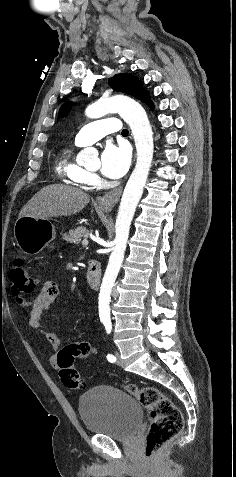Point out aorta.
<instances>
[{
	"label": "aorta",
	"instance_id": "aorta-1",
	"mask_svg": "<svg viewBox=\"0 0 236 477\" xmlns=\"http://www.w3.org/2000/svg\"><path fill=\"white\" fill-rule=\"evenodd\" d=\"M112 112H117L130 126L135 141L137 161L122 195L115 223V246L100 287L98 303L101 320H110L111 291L123 262L130 225L148 178L154 152L153 134L147 114L143 107L132 98L123 95L101 98L89 105L85 114L89 118H100ZM95 153V149L86 148L79 155L87 159Z\"/></svg>",
	"mask_w": 236,
	"mask_h": 477
}]
</instances>
